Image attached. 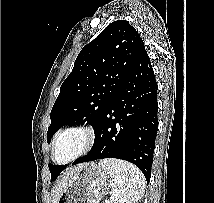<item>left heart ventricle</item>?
Segmentation results:
<instances>
[{"mask_svg": "<svg viewBox=\"0 0 214 203\" xmlns=\"http://www.w3.org/2000/svg\"><path fill=\"white\" fill-rule=\"evenodd\" d=\"M85 142V136L82 132L72 131L66 133L59 140L55 157L57 161H65L75 154H77L83 147Z\"/></svg>", "mask_w": 214, "mask_h": 203, "instance_id": "obj_1", "label": "left heart ventricle"}]
</instances>
